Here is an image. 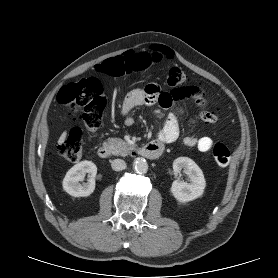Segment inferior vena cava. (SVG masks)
Listing matches in <instances>:
<instances>
[{"label":"inferior vena cava","mask_w":278,"mask_h":278,"mask_svg":"<svg viewBox=\"0 0 278 278\" xmlns=\"http://www.w3.org/2000/svg\"><path fill=\"white\" fill-rule=\"evenodd\" d=\"M111 167L115 171H121L126 168V163L122 159H115L111 162Z\"/></svg>","instance_id":"602c4592"}]
</instances>
